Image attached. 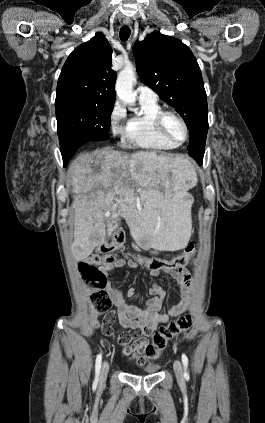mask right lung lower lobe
<instances>
[{
    "mask_svg": "<svg viewBox=\"0 0 265 423\" xmlns=\"http://www.w3.org/2000/svg\"><path fill=\"white\" fill-rule=\"evenodd\" d=\"M83 144H85V141L83 139L76 138L70 143V149L77 151V149Z\"/></svg>",
    "mask_w": 265,
    "mask_h": 423,
    "instance_id": "right-lung-lower-lobe-1",
    "label": "right lung lower lobe"
}]
</instances>
